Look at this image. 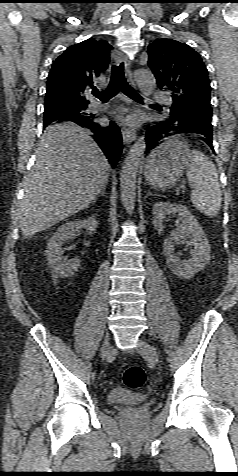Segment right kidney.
Masks as SVG:
<instances>
[{
  "instance_id": "obj_1",
  "label": "right kidney",
  "mask_w": 238,
  "mask_h": 476,
  "mask_svg": "<svg viewBox=\"0 0 238 476\" xmlns=\"http://www.w3.org/2000/svg\"><path fill=\"white\" fill-rule=\"evenodd\" d=\"M97 225L96 217L91 216L88 219L67 222L61 225L53 234L48 242L46 256L56 278L72 277L80 266V259L67 262L63 258L64 248H62V245L64 242L74 237L82 229H86L88 233L92 234L96 230Z\"/></svg>"
}]
</instances>
